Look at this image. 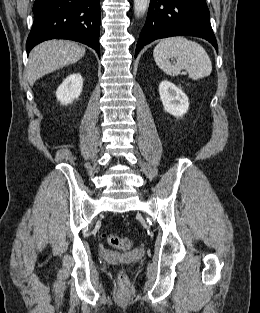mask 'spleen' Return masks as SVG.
Wrapping results in <instances>:
<instances>
[{
    "instance_id": "obj_1",
    "label": "spleen",
    "mask_w": 260,
    "mask_h": 313,
    "mask_svg": "<svg viewBox=\"0 0 260 313\" xmlns=\"http://www.w3.org/2000/svg\"><path fill=\"white\" fill-rule=\"evenodd\" d=\"M153 57L157 66L170 76H178L186 70L191 79L198 80L212 72V63L205 49L182 36L161 40L154 48ZM170 57L176 59L175 64L170 63Z\"/></svg>"
}]
</instances>
